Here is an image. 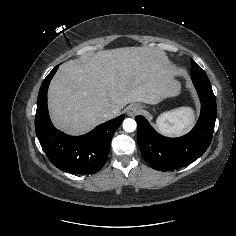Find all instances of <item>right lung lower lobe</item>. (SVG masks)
Segmentation results:
<instances>
[{"mask_svg":"<svg viewBox=\"0 0 236 236\" xmlns=\"http://www.w3.org/2000/svg\"><path fill=\"white\" fill-rule=\"evenodd\" d=\"M59 65L44 79L38 94L35 131L46 156L60 170L72 174H93L107 161L113 134L125 116L97 126L83 136H69L51 123L47 108V90Z\"/></svg>","mask_w":236,"mask_h":236,"instance_id":"right-lung-lower-lobe-1","label":"right lung lower lobe"}]
</instances>
